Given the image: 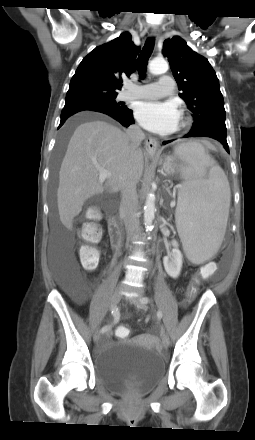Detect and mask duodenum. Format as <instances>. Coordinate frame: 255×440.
I'll use <instances>...</instances> for the list:
<instances>
[{
  "label": "duodenum",
  "mask_w": 255,
  "mask_h": 440,
  "mask_svg": "<svg viewBox=\"0 0 255 440\" xmlns=\"http://www.w3.org/2000/svg\"><path fill=\"white\" fill-rule=\"evenodd\" d=\"M108 228H109V234H110V238L112 240V243L114 244V246L116 248H118L120 245V242H121L122 233H121V230L118 226L117 221L114 218L109 219Z\"/></svg>",
  "instance_id": "1"
}]
</instances>
